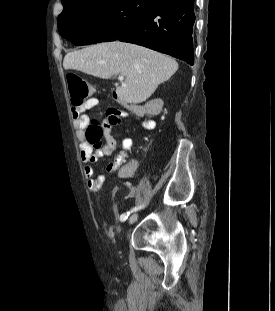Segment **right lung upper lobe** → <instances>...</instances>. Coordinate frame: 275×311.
Listing matches in <instances>:
<instances>
[{"label": "right lung upper lobe", "mask_w": 275, "mask_h": 311, "mask_svg": "<svg viewBox=\"0 0 275 311\" xmlns=\"http://www.w3.org/2000/svg\"><path fill=\"white\" fill-rule=\"evenodd\" d=\"M63 5H65L66 3L70 2V1H75V0H61Z\"/></svg>", "instance_id": "right-lung-upper-lobe-1"}]
</instances>
